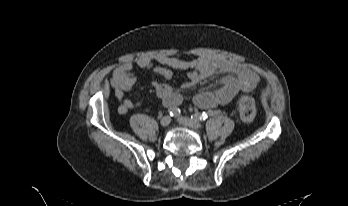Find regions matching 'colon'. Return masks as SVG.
<instances>
[{
  "mask_svg": "<svg viewBox=\"0 0 348 206\" xmlns=\"http://www.w3.org/2000/svg\"><path fill=\"white\" fill-rule=\"evenodd\" d=\"M237 106L241 119L247 123L252 122L255 114L254 103L252 99L246 95H240L237 99Z\"/></svg>",
  "mask_w": 348,
  "mask_h": 206,
  "instance_id": "obj_1",
  "label": "colon"
}]
</instances>
